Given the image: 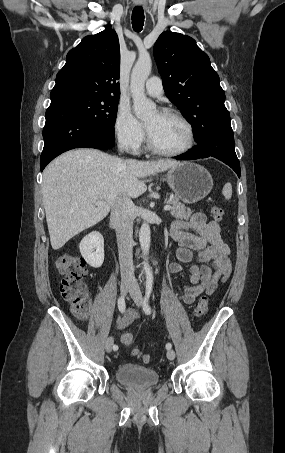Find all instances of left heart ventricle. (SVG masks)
Masks as SVG:
<instances>
[{"instance_id":"1","label":"left heart ventricle","mask_w":285,"mask_h":453,"mask_svg":"<svg viewBox=\"0 0 285 453\" xmlns=\"http://www.w3.org/2000/svg\"><path fill=\"white\" fill-rule=\"evenodd\" d=\"M146 128L154 143L165 150H179L188 143L186 126L178 119L154 112L145 120Z\"/></svg>"}]
</instances>
